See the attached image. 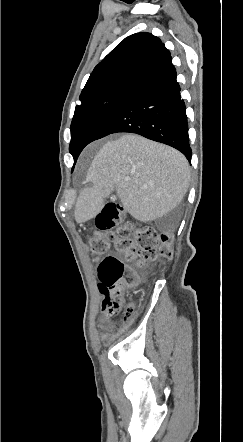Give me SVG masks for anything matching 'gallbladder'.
<instances>
[{"label":"gallbladder","instance_id":"obj_1","mask_svg":"<svg viewBox=\"0 0 243 442\" xmlns=\"http://www.w3.org/2000/svg\"><path fill=\"white\" fill-rule=\"evenodd\" d=\"M119 194L118 193H108L107 196H105L104 201L105 204L108 203L109 199H119Z\"/></svg>","mask_w":243,"mask_h":442}]
</instances>
